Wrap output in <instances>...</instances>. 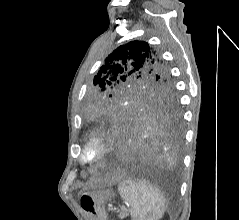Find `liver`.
Masks as SVG:
<instances>
[{
    "mask_svg": "<svg viewBox=\"0 0 239 220\" xmlns=\"http://www.w3.org/2000/svg\"><path fill=\"white\" fill-rule=\"evenodd\" d=\"M123 175L120 172L114 173L104 179L105 183L108 185L115 184L122 179Z\"/></svg>",
    "mask_w": 239,
    "mask_h": 220,
    "instance_id": "1",
    "label": "liver"
}]
</instances>
